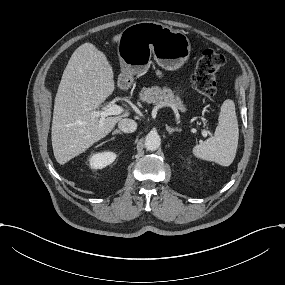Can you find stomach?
Segmentation results:
<instances>
[{
	"label": "stomach",
	"instance_id": "1",
	"mask_svg": "<svg viewBox=\"0 0 285 285\" xmlns=\"http://www.w3.org/2000/svg\"><path fill=\"white\" fill-rule=\"evenodd\" d=\"M190 54L191 43L183 32L156 22L129 26L118 43L123 81L147 69L151 56L163 70L174 71L184 66ZM175 91L178 100L185 93L179 85H175Z\"/></svg>",
	"mask_w": 285,
	"mask_h": 285
}]
</instances>
